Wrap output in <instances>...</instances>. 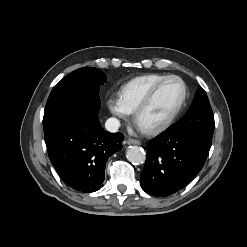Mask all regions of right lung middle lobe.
<instances>
[{
	"label": "right lung middle lobe",
	"instance_id": "1",
	"mask_svg": "<svg viewBox=\"0 0 247 247\" xmlns=\"http://www.w3.org/2000/svg\"><path fill=\"white\" fill-rule=\"evenodd\" d=\"M104 82L105 74L93 67L77 69L59 81L46 103L44 130L70 119L98 113V92Z\"/></svg>",
	"mask_w": 247,
	"mask_h": 247
}]
</instances>
